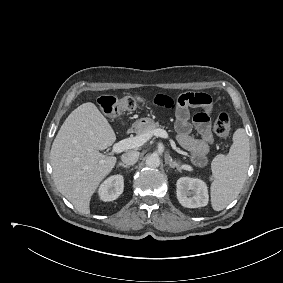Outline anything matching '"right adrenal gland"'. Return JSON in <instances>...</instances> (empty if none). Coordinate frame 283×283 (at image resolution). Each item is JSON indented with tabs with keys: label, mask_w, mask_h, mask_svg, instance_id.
<instances>
[{
	"label": "right adrenal gland",
	"mask_w": 283,
	"mask_h": 283,
	"mask_svg": "<svg viewBox=\"0 0 283 283\" xmlns=\"http://www.w3.org/2000/svg\"><path fill=\"white\" fill-rule=\"evenodd\" d=\"M118 167H123V168H126V169H129V168H130V166L125 165V164H123V163H119V164H118Z\"/></svg>",
	"instance_id": "1"
}]
</instances>
